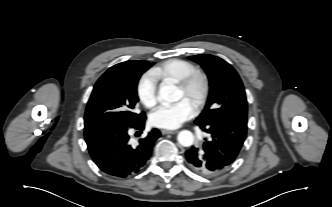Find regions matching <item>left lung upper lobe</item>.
<instances>
[{
  "label": "left lung upper lobe",
  "instance_id": "1",
  "mask_svg": "<svg viewBox=\"0 0 332 207\" xmlns=\"http://www.w3.org/2000/svg\"><path fill=\"white\" fill-rule=\"evenodd\" d=\"M208 75L210 91L206 106L195 123L212 124L228 119L247 120V100L235 69L223 59L207 54L190 56Z\"/></svg>",
  "mask_w": 332,
  "mask_h": 207
}]
</instances>
